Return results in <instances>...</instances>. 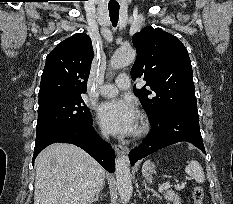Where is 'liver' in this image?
Wrapping results in <instances>:
<instances>
[{"label": "liver", "mask_w": 233, "mask_h": 204, "mask_svg": "<svg viewBox=\"0 0 233 204\" xmlns=\"http://www.w3.org/2000/svg\"><path fill=\"white\" fill-rule=\"evenodd\" d=\"M35 168L34 204H90L104 186L103 167L72 144L46 147Z\"/></svg>", "instance_id": "1"}]
</instances>
